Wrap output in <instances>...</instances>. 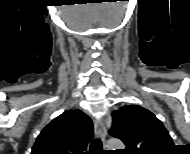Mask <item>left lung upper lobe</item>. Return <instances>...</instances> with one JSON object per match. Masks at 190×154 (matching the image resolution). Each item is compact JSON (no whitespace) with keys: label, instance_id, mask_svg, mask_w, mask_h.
<instances>
[{"label":"left lung upper lobe","instance_id":"1","mask_svg":"<svg viewBox=\"0 0 190 154\" xmlns=\"http://www.w3.org/2000/svg\"><path fill=\"white\" fill-rule=\"evenodd\" d=\"M112 119L109 134L124 142L126 154H158L174 145L162 122L139 105L114 111Z\"/></svg>","mask_w":190,"mask_h":154}]
</instances>
